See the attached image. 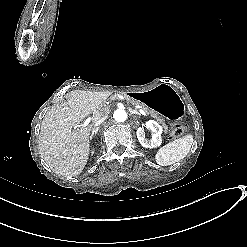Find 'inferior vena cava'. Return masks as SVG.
<instances>
[{
  "label": "inferior vena cava",
  "instance_id": "1",
  "mask_svg": "<svg viewBox=\"0 0 247 247\" xmlns=\"http://www.w3.org/2000/svg\"><path fill=\"white\" fill-rule=\"evenodd\" d=\"M105 120H106V116L101 117L98 121H96L94 124V129L100 126Z\"/></svg>",
  "mask_w": 247,
  "mask_h": 247
}]
</instances>
